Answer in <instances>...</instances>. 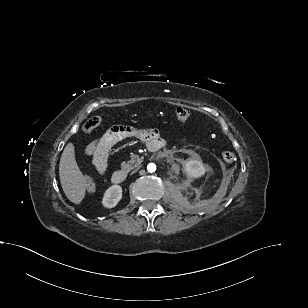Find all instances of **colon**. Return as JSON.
<instances>
[{
    "mask_svg": "<svg viewBox=\"0 0 308 308\" xmlns=\"http://www.w3.org/2000/svg\"><path fill=\"white\" fill-rule=\"evenodd\" d=\"M175 118L179 122H186L190 118V112L183 107H178L175 110ZM101 121L102 119L99 116L89 118L83 125V131L85 133L92 132L101 124ZM222 157L227 163H232L235 160V154L231 151L223 152ZM86 191L89 194H93L96 191V184L91 178H89L86 182Z\"/></svg>",
    "mask_w": 308,
    "mask_h": 308,
    "instance_id": "colon-1",
    "label": "colon"
}]
</instances>
